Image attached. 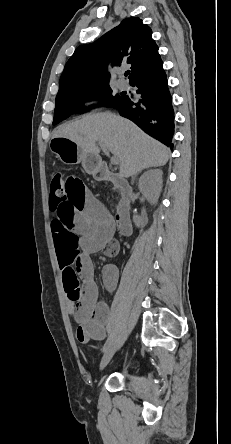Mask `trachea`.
<instances>
[{"mask_svg": "<svg viewBox=\"0 0 231 444\" xmlns=\"http://www.w3.org/2000/svg\"><path fill=\"white\" fill-rule=\"evenodd\" d=\"M129 73H130V71H127V72L125 73V75H126V76L129 75Z\"/></svg>", "mask_w": 231, "mask_h": 444, "instance_id": "3493384b", "label": "trachea"}]
</instances>
